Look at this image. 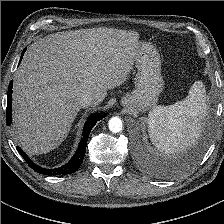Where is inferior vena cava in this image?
Listing matches in <instances>:
<instances>
[{"mask_svg":"<svg viewBox=\"0 0 224 224\" xmlns=\"http://www.w3.org/2000/svg\"><path fill=\"white\" fill-rule=\"evenodd\" d=\"M79 104L81 107H89L93 105H97V101L91 95H83L79 99Z\"/></svg>","mask_w":224,"mask_h":224,"instance_id":"inferior-vena-cava-1","label":"inferior vena cava"}]
</instances>
